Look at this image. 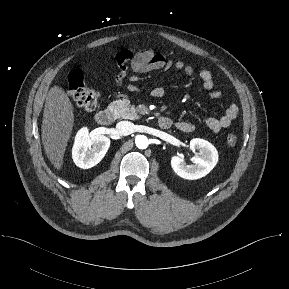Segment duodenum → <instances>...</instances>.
I'll list each match as a JSON object with an SVG mask.
<instances>
[{
    "label": "duodenum",
    "mask_w": 289,
    "mask_h": 289,
    "mask_svg": "<svg viewBox=\"0 0 289 289\" xmlns=\"http://www.w3.org/2000/svg\"><path fill=\"white\" fill-rule=\"evenodd\" d=\"M95 120L98 124L107 126L113 121V113L109 109H102L95 115ZM158 125L161 129H168L172 126V120L166 116L158 118Z\"/></svg>",
    "instance_id": "1"
}]
</instances>
